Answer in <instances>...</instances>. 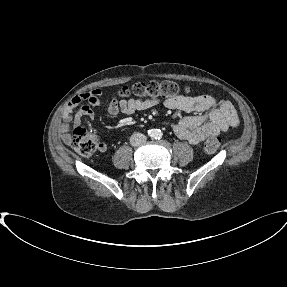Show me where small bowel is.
Returning a JSON list of instances; mask_svg holds the SVG:
<instances>
[{
    "instance_id": "obj_1",
    "label": "small bowel",
    "mask_w": 287,
    "mask_h": 287,
    "mask_svg": "<svg viewBox=\"0 0 287 287\" xmlns=\"http://www.w3.org/2000/svg\"><path fill=\"white\" fill-rule=\"evenodd\" d=\"M101 91L93 89L75 96L67 106L63 120L59 125V134L65 143L70 142L71 126L78 127L83 117H94L92 107L101 105ZM158 104V100H138L113 98L108 105V113L115 116L123 113L131 116L138 111L147 110ZM165 106L173 110L196 112L197 115L182 118L172 125L178 138L190 144H199L206 138L217 136L229 128L239 124V117L233 105L223 99H216L209 95L199 97L176 96L165 101ZM100 149L104 151L105 145Z\"/></svg>"
}]
</instances>
